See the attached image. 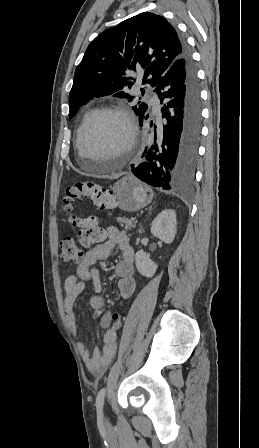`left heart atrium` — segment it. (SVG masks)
<instances>
[{"label": "left heart atrium", "instance_id": "obj_1", "mask_svg": "<svg viewBox=\"0 0 259 448\" xmlns=\"http://www.w3.org/2000/svg\"><path fill=\"white\" fill-rule=\"evenodd\" d=\"M146 157H147L148 160H152L153 157H154V153L151 150H148L146 152Z\"/></svg>", "mask_w": 259, "mask_h": 448}]
</instances>
